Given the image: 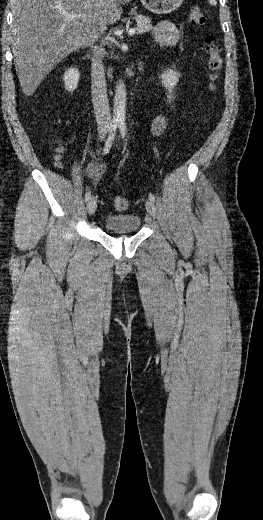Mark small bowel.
Listing matches in <instances>:
<instances>
[{"label": "small bowel", "mask_w": 263, "mask_h": 520, "mask_svg": "<svg viewBox=\"0 0 263 520\" xmlns=\"http://www.w3.org/2000/svg\"><path fill=\"white\" fill-rule=\"evenodd\" d=\"M181 34L179 30L169 22H161L155 30V39L161 45L173 46L179 42ZM167 126V119L164 116H158L155 118L151 125V130L155 135H161ZM63 147L59 146L56 150L55 165L58 168H62L61 154ZM104 165L99 162H93L86 170V176L97 181L102 175Z\"/></svg>", "instance_id": "1"}]
</instances>
